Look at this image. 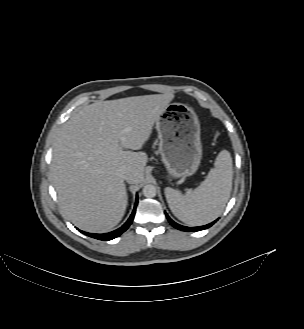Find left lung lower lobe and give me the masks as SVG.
Wrapping results in <instances>:
<instances>
[{"label":"left lung lower lobe","instance_id":"obj_1","mask_svg":"<svg viewBox=\"0 0 304 329\" xmlns=\"http://www.w3.org/2000/svg\"><path fill=\"white\" fill-rule=\"evenodd\" d=\"M166 217H167L168 221L170 222V224L173 227H175L176 229H179L181 231H200V230H204V229L209 228L210 226H212L216 222V221H214L210 224L200 226V227H185V226L179 225L176 222H174L167 214H166Z\"/></svg>","mask_w":304,"mask_h":329}]
</instances>
